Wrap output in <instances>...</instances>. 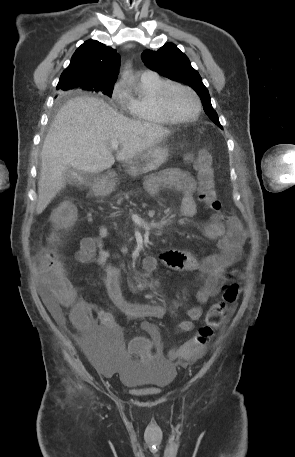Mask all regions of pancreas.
Returning <instances> with one entry per match:
<instances>
[{"label": "pancreas", "mask_w": 295, "mask_h": 457, "mask_svg": "<svg viewBox=\"0 0 295 457\" xmlns=\"http://www.w3.org/2000/svg\"><path fill=\"white\" fill-rule=\"evenodd\" d=\"M128 197H129V195H128V194H125V198H128ZM121 201H122V199H119V200H118V203H121Z\"/></svg>", "instance_id": "cf45deb5"}]
</instances>
